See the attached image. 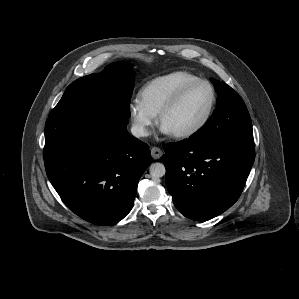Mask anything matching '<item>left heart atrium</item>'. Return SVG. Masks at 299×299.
<instances>
[{
    "label": "left heart atrium",
    "instance_id": "39dd6f15",
    "mask_svg": "<svg viewBox=\"0 0 299 299\" xmlns=\"http://www.w3.org/2000/svg\"><path fill=\"white\" fill-rule=\"evenodd\" d=\"M160 131H161L162 134H165V135H170V134H171V133H170L166 128H164L163 126H161Z\"/></svg>",
    "mask_w": 299,
    "mask_h": 299
}]
</instances>
